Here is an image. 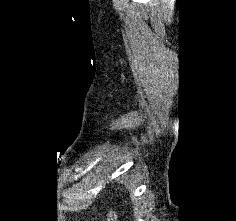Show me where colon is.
Masks as SVG:
<instances>
[{"label": "colon", "mask_w": 236, "mask_h": 221, "mask_svg": "<svg viewBox=\"0 0 236 221\" xmlns=\"http://www.w3.org/2000/svg\"><path fill=\"white\" fill-rule=\"evenodd\" d=\"M116 215L113 211H110L106 217V221H115Z\"/></svg>", "instance_id": "1"}]
</instances>
